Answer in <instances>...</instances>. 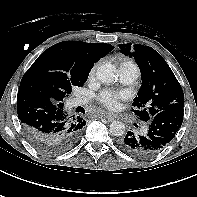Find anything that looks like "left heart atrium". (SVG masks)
<instances>
[{
    "mask_svg": "<svg viewBox=\"0 0 197 197\" xmlns=\"http://www.w3.org/2000/svg\"><path fill=\"white\" fill-rule=\"evenodd\" d=\"M126 98L125 93L113 90H104L99 96V102L108 109L115 110L119 108L120 101Z\"/></svg>",
    "mask_w": 197,
    "mask_h": 197,
    "instance_id": "obj_1",
    "label": "left heart atrium"
}]
</instances>
